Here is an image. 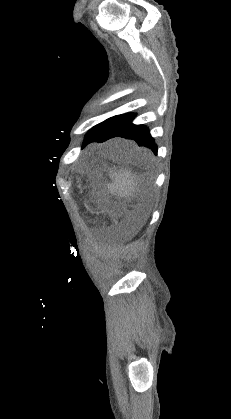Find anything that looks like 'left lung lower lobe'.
Wrapping results in <instances>:
<instances>
[{
    "instance_id": "obj_1",
    "label": "left lung lower lobe",
    "mask_w": 231,
    "mask_h": 419,
    "mask_svg": "<svg viewBox=\"0 0 231 419\" xmlns=\"http://www.w3.org/2000/svg\"><path fill=\"white\" fill-rule=\"evenodd\" d=\"M135 114L113 116L93 127L85 136L82 148L91 142H105L114 137L134 140L139 146H144L157 155V145L150 135L149 129L144 125L132 123Z\"/></svg>"
}]
</instances>
